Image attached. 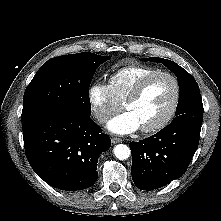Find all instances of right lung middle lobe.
Wrapping results in <instances>:
<instances>
[{"mask_svg":"<svg viewBox=\"0 0 221 221\" xmlns=\"http://www.w3.org/2000/svg\"><path fill=\"white\" fill-rule=\"evenodd\" d=\"M107 59L94 53H76L45 62L24 93L22 125L53 109L90 116L89 86L96 68Z\"/></svg>","mask_w":221,"mask_h":221,"instance_id":"dd1d6c3e","label":"right lung middle lobe"}]
</instances>
